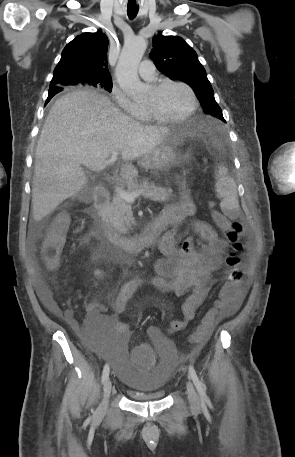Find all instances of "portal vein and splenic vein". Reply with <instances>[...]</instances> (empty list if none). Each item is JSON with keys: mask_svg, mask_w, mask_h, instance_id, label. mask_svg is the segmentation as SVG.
Returning <instances> with one entry per match:
<instances>
[{"mask_svg": "<svg viewBox=\"0 0 295 457\" xmlns=\"http://www.w3.org/2000/svg\"><path fill=\"white\" fill-rule=\"evenodd\" d=\"M118 155H119V152L118 151H114L112 153L111 158L106 161V165H110L113 162H115L117 160V158H118ZM115 191L122 199H124L127 202H133L138 196L144 194V192L141 191V190L140 191H136V192H132V193H128V192L120 189L119 187H115Z\"/></svg>", "mask_w": 295, "mask_h": 457, "instance_id": "obj_1", "label": "portal vein and splenic vein"}]
</instances>
